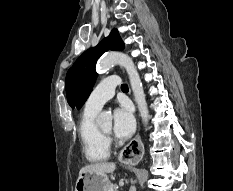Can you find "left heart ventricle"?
<instances>
[{
    "label": "left heart ventricle",
    "mask_w": 233,
    "mask_h": 191,
    "mask_svg": "<svg viewBox=\"0 0 233 191\" xmlns=\"http://www.w3.org/2000/svg\"><path fill=\"white\" fill-rule=\"evenodd\" d=\"M101 130L105 131V132H110L111 130V125L107 124L101 127Z\"/></svg>",
    "instance_id": "1"
}]
</instances>
